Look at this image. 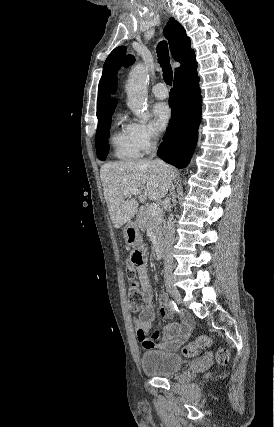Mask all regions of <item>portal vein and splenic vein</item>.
<instances>
[{"mask_svg":"<svg viewBox=\"0 0 274 427\" xmlns=\"http://www.w3.org/2000/svg\"><path fill=\"white\" fill-rule=\"evenodd\" d=\"M139 194H142V192H140V190H135V188H132V190H126V192H124V196H126V198H129V196H139ZM159 206L158 204H151V206H148V215H157L159 214Z\"/></svg>","mask_w":274,"mask_h":427,"instance_id":"portal-vein-and-splenic-vein-1","label":"portal vein and splenic vein"}]
</instances>
